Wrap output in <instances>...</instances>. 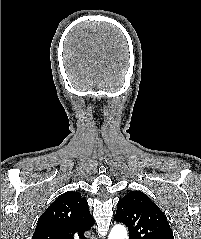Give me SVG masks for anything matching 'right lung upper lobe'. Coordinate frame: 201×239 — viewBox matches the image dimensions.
Segmentation results:
<instances>
[{
	"label": "right lung upper lobe",
	"mask_w": 201,
	"mask_h": 239,
	"mask_svg": "<svg viewBox=\"0 0 201 239\" xmlns=\"http://www.w3.org/2000/svg\"><path fill=\"white\" fill-rule=\"evenodd\" d=\"M88 203L79 192L59 196L40 216L32 239H87L94 225Z\"/></svg>",
	"instance_id": "cb5924a9"
}]
</instances>
